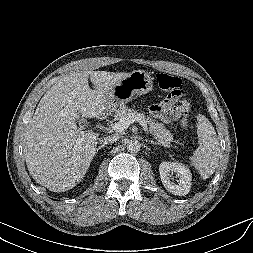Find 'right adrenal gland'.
I'll list each match as a JSON object with an SVG mask.
<instances>
[{"label":"right adrenal gland","mask_w":253,"mask_h":253,"mask_svg":"<svg viewBox=\"0 0 253 253\" xmlns=\"http://www.w3.org/2000/svg\"><path fill=\"white\" fill-rule=\"evenodd\" d=\"M103 147H105V145L103 144V145H101V146H99L97 149H96V151L98 152L101 148H103Z\"/></svg>","instance_id":"right-adrenal-gland-1"}]
</instances>
